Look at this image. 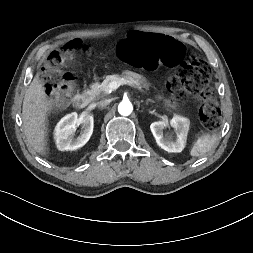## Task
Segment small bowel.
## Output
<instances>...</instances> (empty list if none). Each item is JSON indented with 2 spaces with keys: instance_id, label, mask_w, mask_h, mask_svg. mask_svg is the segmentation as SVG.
I'll return each mask as SVG.
<instances>
[{
  "instance_id": "small-bowel-1",
  "label": "small bowel",
  "mask_w": 253,
  "mask_h": 253,
  "mask_svg": "<svg viewBox=\"0 0 253 253\" xmlns=\"http://www.w3.org/2000/svg\"><path fill=\"white\" fill-rule=\"evenodd\" d=\"M157 36H160V35H157ZM160 37H161V38H164V37H162V36H160ZM153 67H155V66H152V68H153Z\"/></svg>"
}]
</instances>
